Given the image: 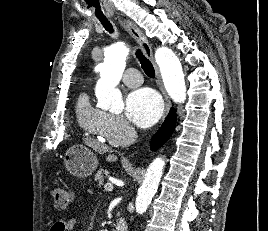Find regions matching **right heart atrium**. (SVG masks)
Masks as SVG:
<instances>
[{
	"mask_svg": "<svg viewBox=\"0 0 268 231\" xmlns=\"http://www.w3.org/2000/svg\"><path fill=\"white\" fill-rule=\"evenodd\" d=\"M130 130V125L121 115L107 114L102 129L103 139L112 144H119Z\"/></svg>",
	"mask_w": 268,
	"mask_h": 231,
	"instance_id": "obj_1",
	"label": "right heart atrium"
}]
</instances>
